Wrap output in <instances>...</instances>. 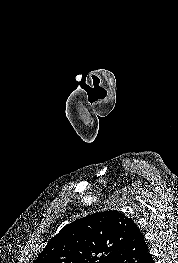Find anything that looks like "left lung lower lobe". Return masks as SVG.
Wrapping results in <instances>:
<instances>
[{
    "label": "left lung lower lobe",
    "instance_id": "obj_1",
    "mask_svg": "<svg viewBox=\"0 0 178 263\" xmlns=\"http://www.w3.org/2000/svg\"><path fill=\"white\" fill-rule=\"evenodd\" d=\"M112 263H153L143 233L134 222Z\"/></svg>",
    "mask_w": 178,
    "mask_h": 263
}]
</instances>
